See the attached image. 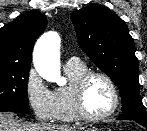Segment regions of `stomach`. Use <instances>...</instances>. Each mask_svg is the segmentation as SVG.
Masks as SVG:
<instances>
[{"mask_svg":"<svg viewBox=\"0 0 147 131\" xmlns=\"http://www.w3.org/2000/svg\"><path fill=\"white\" fill-rule=\"evenodd\" d=\"M83 131H100V129L95 127H90V128L83 129Z\"/></svg>","mask_w":147,"mask_h":131,"instance_id":"0dacf381","label":"stomach"}]
</instances>
